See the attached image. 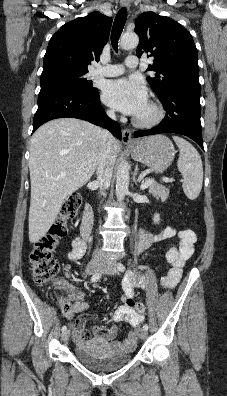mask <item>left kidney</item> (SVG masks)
Here are the masks:
<instances>
[{"instance_id":"1","label":"left kidney","mask_w":227,"mask_h":396,"mask_svg":"<svg viewBox=\"0 0 227 396\" xmlns=\"http://www.w3.org/2000/svg\"><path fill=\"white\" fill-rule=\"evenodd\" d=\"M153 220H154V223H159V221H160L159 214H155Z\"/></svg>"}]
</instances>
